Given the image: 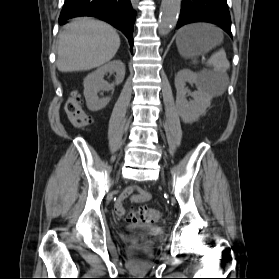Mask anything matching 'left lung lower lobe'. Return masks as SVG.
Returning a JSON list of instances; mask_svg holds the SVG:
<instances>
[{"instance_id": "left-lung-lower-lobe-1", "label": "left lung lower lobe", "mask_w": 279, "mask_h": 279, "mask_svg": "<svg viewBox=\"0 0 279 279\" xmlns=\"http://www.w3.org/2000/svg\"><path fill=\"white\" fill-rule=\"evenodd\" d=\"M193 22L216 24L232 37L226 0H182L177 28Z\"/></svg>"}]
</instances>
